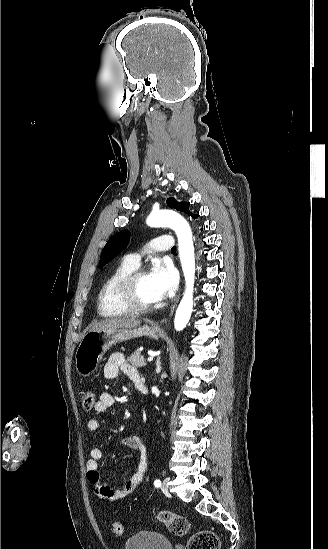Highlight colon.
I'll return each instance as SVG.
<instances>
[{"mask_svg": "<svg viewBox=\"0 0 328 549\" xmlns=\"http://www.w3.org/2000/svg\"><path fill=\"white\" fill-rule=\"evenodd\" d=\"M96 394L92 390L84 391L82 395V407L85 411H90L95 406ZM157 520L165 524L168 530L175 536H185L191 531L190 522L183 516L169 511L158 513ZM114 534L123 533V525L120 522H114L111 526ZM218 536L208 530L199 531L193 534L187 542L186 549H218Z\"/></svg>", "mask_w": 328, "mask_h": 549, "instance_id": "1", "label": "colon"}]
</instances>
